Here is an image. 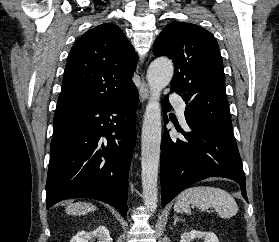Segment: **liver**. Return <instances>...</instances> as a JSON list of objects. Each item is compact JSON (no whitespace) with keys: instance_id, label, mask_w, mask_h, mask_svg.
<instances>
[{"instance_id":"obj_1","label":"liver","mask_w":279,"mask_h":242,"mask_svg":"<svg viewBox=\"0 0 279 242\" xmlns=\"http://www.w3.org/2000/svg\"><path fill=\"white\" fill-rule=\"evenodd\" d=\"M95 209L96 207L90 203L78 202L68 205L66 207V212L71 215H85Z\"/></svg>"}]
</instances>
